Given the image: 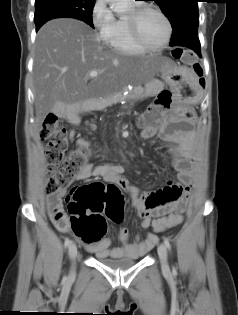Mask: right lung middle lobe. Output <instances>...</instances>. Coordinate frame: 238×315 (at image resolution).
<instances>
[{"instance_id": "obj_1", "label": "right lung middle lobe", "mask_w": 238, "mask_h": 315, "mask_svg": "<svg viewBox=\"0 0 238 315\" xmlns=\"http://www.w3.org/2000/svg\"><path fill=\"white\" fill-rule=\"evenodd\" d=\"M95 0H36L35 24L53 18L67 17L84 21L94 28L92 11Z\"/></svg>"}]
</instances>
